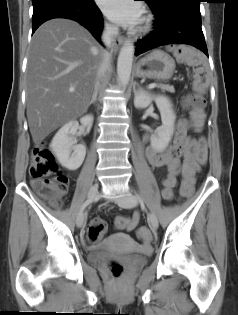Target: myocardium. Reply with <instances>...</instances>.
<instances>
[{
    "mask_svg": "<svg viewBox=\"0 0 238 315\" xmlns=\"http://www.w3.org/2000/svg\"><path fill=\"white\" fill-rule=\"evenodd\" d=\"M150 18L146 17L143 20L142 26H141V31H147L150 28Z\"/></svg>",
    "mask_w": 238,
    "mask_h": 315,
    "instance_id": "obj_1",
    "label": "myocardium"
}]
</instances>
